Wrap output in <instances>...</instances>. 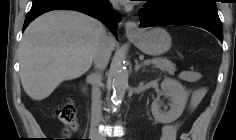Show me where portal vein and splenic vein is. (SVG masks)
Listing matches in <instances>:
<instances>
[{
  "instance_id": "obj_1",
  "label": "portal vein and splenic vein",
  "mask_w": 236,
  "mask_h": 140,
  "mask_svg": "<svg viewBox=\"0 0 236 140\" xmlns=\"http://www.w3.org/2000/svg\"><path fill=\"white\" fill-rule=\"evenodd\" d=\"M143 63H144L145 65H148V64H151V63H152V60H145Z\"/></svg>"
}]
</instances>
